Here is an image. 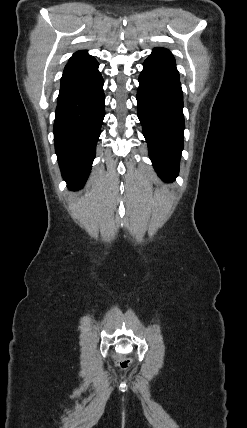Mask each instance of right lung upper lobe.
I'll return each instance as SVG.
<instances>
[{
    "instance_id": "obj_1",
    "label": "right lung upper lobe",
    "mask_w": 247,
    "mask_h": 428,
    "mask_svg": "<svg viewBox=\"0 0 247 428\" xmlns=\"http://www.w3.org/2000/svg\"><path fill=\"white\" fill-rule=\"evenodd\" d=\"M88 57H90V55L87 54L86 50L78 51V52L74 53V55L69 59L68 63L81 61V60H84Z\"/></svg>"
}]
</instances>
